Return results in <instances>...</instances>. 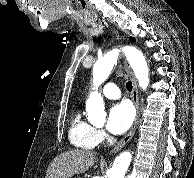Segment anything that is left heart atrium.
Segmentation results:
<instances>
[{"label": "left heart atrium", "instance_id": "left-heart-atrium-1", "mask_svg": "<svg viewBox=\"0 0 194 178\" xmlns=\"http://www.w3.org/2000/svg\"><path fill=\"white\" fill-rule=\"evenodd\" d=\"M134 120V111L127 102H120L113 105L108 114L107 129L112 134H122L132 125Z\"/></svg>", "mask_w": 194, "mask_h": 178}]
</instances>
